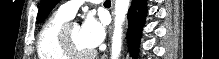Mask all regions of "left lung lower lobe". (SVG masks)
Here are the masks:
<instances>
[{
    "label": "left lung lower lobe",
    "instance_id": "obj_1",
    "mask_svg": "<svg viewBox=\"0 0 219 59\" xmlns=\"http://www.w3.org/2000/svg\"><path fill=\"white\" fill-rule=\"evenodd\" d=\"M135 10H138V12H135ZM146 13V0H132L127 18L129 21V49L133 55H136L137 52V47L141 37V29L145 21Z\"/></svg>",
    "mask_w": 219,
    "mask_h": 59
}]
</instances>
